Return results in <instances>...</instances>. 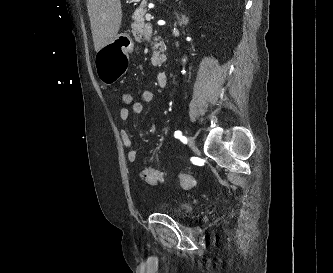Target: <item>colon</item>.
Wrapping results in <instances>:
<instances>
[{
  "label": "colon",
  "instance_id": "5ec220e1",
  "mask_svg": "<svg viewBox=\"0 0 333 273\" xmlns=\"http://www.w3.org/2000/svg\"><path fill=\"white\" fill-rule=\"evenodd\" d=\"M133 95L129 92H124L120 95V102L124 105H130L133 101ZM141 178L144 182L150 185H158L165 181V175L154 168H146L141 172ZM178 181L183 189L189 190L196 185V180L191 175L180 173Z\"/></svg>",
  "mask_w": 333,
  "mask_h": 273
}]
</instances>
